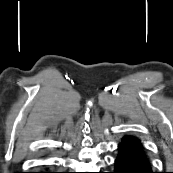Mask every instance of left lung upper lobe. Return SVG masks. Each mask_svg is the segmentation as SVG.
Instances as JSON below:
<instances>
[{"mask_svg": "<svg viewBox=\"0 0 173 173\" xmlns=\"http://www.w3.org/2000/svg\"><path fill=\"white\" fill-rule=\"evenodd\" d=\"M122 141L127 142V143H135V144L142 145L141 141L138 138H136L134 136H130V135H125L123 137Z\"/></svg>", "mask_w": 173, "mask_h": 173, "instance_id": "5c2ea615", "label": "left lung upper lobe"}]
</instances>
